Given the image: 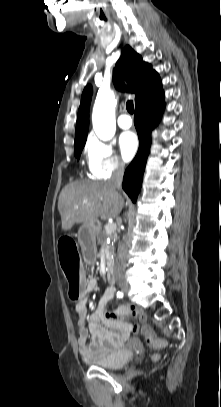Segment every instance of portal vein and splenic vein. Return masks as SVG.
<instances>
[{"label": "portal vein and splenic vein", "instance_id": "18ae733b", "mask_svg": "<svg viewBox=\"0 0 221 407\" xmlns=\"http://www.w3.org/2000/svg\"><path fill=\"white\" fill-rule=\"evenodd\" d=\"M85 202H88V201H85ZM76 208H77V206H76ZM116 228H117L116 223L110 222L106 225L105 230H106L107 234H110V233L114 232L116 230Z\"/></svg>", "mask_w": 221, "mask_h": 407}]
</instances>
